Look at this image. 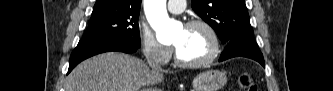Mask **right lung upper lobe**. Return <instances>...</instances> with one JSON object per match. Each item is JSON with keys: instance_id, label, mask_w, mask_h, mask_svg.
<instances>
[{"instance_id": "right-lung-upper-lobe-1", "label": "right lung upper lobe", "mask_w": 333, "mask_h": 91, "mask_svg": "<svg viewBox=\"0 0 333 91\" xmlns=\"http://www.w3.org/2000/svg\"><path fill=\"white\" fill-rule=\"evenodd\" d=\"M140 7L141 0H97L91 18L140 11Z\"/></svg>"}]
</instances>
